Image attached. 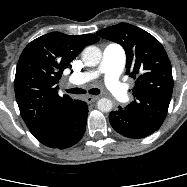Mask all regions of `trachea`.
I'll return each instance as SVG.
<instances>
[{
    "label": "trachea",
    "mask_w": 187,
    "mask_h": 187,
    "mask_svg": "<svg viewBox=\"0 0 187 187\" xmlns=\"http://www.w3.org/2000/svg\"><path fill=\"white\" fill-rule=\"evenodd\" d=\"M66 92L72 93V94H85L86 90L81 88H72V89H66ZM92 95H98L100 93V90L97 88L90 89L88 91Z\"/></svg>",
    "instance_id": "1"
}]
</instances>
